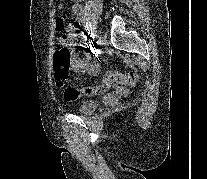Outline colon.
I'll return each mask as SVG.
<instances>
[{"mask_svg": "<svg viewBox=\"0 0 207 179\" xmlns=\"http://www.w3.org/2000/svg\"><path fill=\"white\" fill-rule=\"evenodd\" d=\"M57 28L62 31L66 25V19L64 15H59L57 17ZM68 35L62 33L59 37V46L55 50L53 55V68H54V77L57 81V84L60 87L64 86V83L69 77L70 74V62H71V53L70 50L65 45ZM140 74L137 72H130L127 74H122L120 72H107L100 85L97 86H87L84 88L77 87H65L63 89V97L67 101H76L82 96H93L100 95L108 91L115 85L126 84L132 85L137 82Z\"/></svg>", "mask_w": 207, "mask_h": 179, "instance_id": "colon-1", "label": "colon"}]
</instances>
